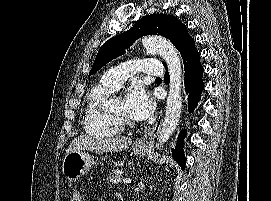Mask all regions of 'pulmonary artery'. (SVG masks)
Instances as JSON below:
<instances>
[{"mask_svg": "<svg viewBox=\"0 0 271 201\" xmlns=\"http://www.w3.org/2000/svg\"><path fill=\"white\" fill-rule=\"evenodd\" d=\"M138 72L160 76L164 73L162 64L155 58L134 59L108 70L101 78V85L117 89L125 80Z\"/></svg>", "mask_w": 271, "mask_h": 201, "instance_id": "1", "label": "pulmonary artery"}]
</instances>
